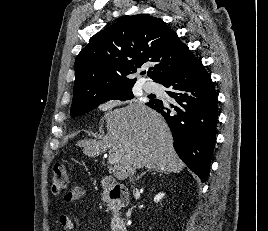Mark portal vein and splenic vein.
I'll return each instance as SVG.
<instances>
[{
  "label": "portal vein and splenic vein",
  "mask_w": 268,
  "mask_h": 231,
  "mask_svg": "<svg viewBox=\"0 0 268 231\" xmlns=\"http://www.w3.org/2000/svg\"><path fill=\"white\" fill-rule=\"evenodd\" d=\"M118 161H119V158H118V156H117L116 154H114V153H110V154H109V157H108V163H109L110 165H114V164H116Z\"/></svg>",
  "instance_id": "1"
}]
</instances>
